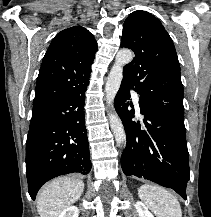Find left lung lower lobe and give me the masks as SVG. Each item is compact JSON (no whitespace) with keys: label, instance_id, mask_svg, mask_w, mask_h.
<instances>
[{"label":"left lung lower lobe","instance_id":"0a47b994","mask_svg":"<svg viewBox=\"0 0 211 217\" xmlns=\"http://www.w3.org/2000/svg\"><path fill=\"white\" fill-rule=\"evenodd\" d=\"M131 88L122 80L114 101L127 135L126 148L121 156L123 172L171 188L187 199L190 172L184 123L157 113L139 101L144 116V130H141V125L132 121L135 111L130 109Z\"/></svg>","mask_w":211,"mask_h":217}]
</instances>
